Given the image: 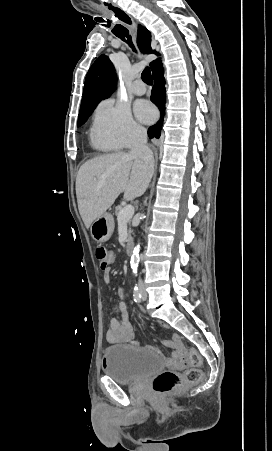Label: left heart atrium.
Returning <instances> with one entry per match:
<instances>
[{
	"label": "left heart atrium",
	"instance_id": "39dd6f15",
	"mask_svg": "<svg viewBox=\"0 0 272 451\" xmlns=\"http://www.w3.org/2000/svg\"><path fill=\"white\" fill-rule=\"evenodd\" d=\"M155 110L148 102H143L138 109V116L143 122H151L155 117Z\"/></svg>",
	"mask_w": 272,
	"mask_h": 451
}]
</instances>
